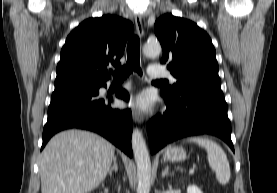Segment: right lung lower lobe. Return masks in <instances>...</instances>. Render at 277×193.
<instances>
[{
  "label": "right lung lower lobe",
  "mask_w": 277,
  "mask_h": 193,
  "mask_svg": "<svg viewBox=\"0 0 277 193\" xmlns=\"http://www.w3.org/2000/svg\"><path fill=\"white\" fill-rule=\"evenodd\" d=\"M106 87V85H103ZM99 87L55 90L48 108V119L43 130V144L57 132L80 128L96 132L132 157V115L129 109L117 110L109 106L111 99L99 96ZM129 99L126 90L116 93Z\"/></svg>",
  "instance_id": "1"
}]
</instances>
